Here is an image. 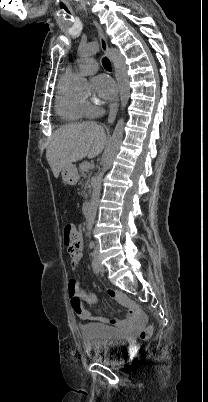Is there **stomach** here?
Returning a JSON list of instances; mask_svg holds the SVG:
<instances>
[{
  "label": "stomach",
  "instance_id": "0dacf381",
  "mask_svg": "<svg viewBox=\"0 0 208 402\" xmlns=\"http://www.w3.org/2000/svg\"><path fill=\"white\" fill-rule=\"evenodd\" d=\"M61 176L63 182H65V184H69V186H75L79 180L77 168L74 166V164L64 166V168L61 170Z\"/></svg>",
  "mask_w": 208,
  "mask_h": 402
}]
</instances>
